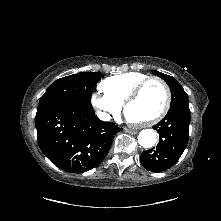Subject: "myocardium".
I'll return each mask as SVG.
<instances>
[{
	"label": "myocardium",
	"mask_w": 221,
	"mask_h": 221,
	"mask_svg": "<svg viewBox=\"0 0 221 221\" xmlns=\"http://www.w3.org/2000/svg\"><path fill=\"white\" fill-rule=\"evenodd\" d=\"M157 82L159 83L165 93V102L164 105L162 107V109L159 111V113H157L154 117L145 120V121H133L131 119H129L128 115H127V110L128 107L130 106V104H132L140 95V93L142 92L143 88L150 82ZM170 104H171V92L170 89L168 87V85L159 77H155V76H150L145 78L144 80H142L132 91L131 93L128 95V97L126 98V100L123 103V111L125 114L126 119L128 120V122L130 124H132L135 127L138 128H144V127H150L152 125H155L156 123H158L160 120H162L165 115L167 114L169 108H170Z\"/></svg>",
	"instance_id": "f54148a6"
}]
</instances>
